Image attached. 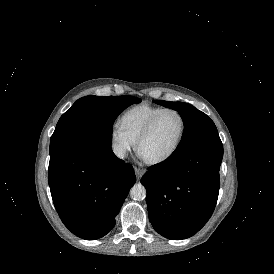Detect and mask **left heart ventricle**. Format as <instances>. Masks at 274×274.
I'll return each instance as SVG.
<instances>
[{"instance_id": "obj_1", "label": "left heart ventricle", "mask_w": 274, "mask_h": 274, "mask_svg": "<svg viewBox=\"0 0 274 274\" xmlns=\"http://www.w3.org/2000/svg\"><path fill=\"white\" fill-rule=\"evenodd\" d=\"M180 117L167 112L159 119L151 133L142 141L139 156L143 160H156L164 157L172 149L180 132Z\"/></svg>"}]
</instances>
